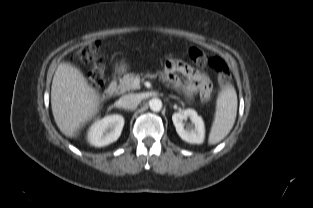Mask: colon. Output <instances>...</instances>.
Listing matches in <instances>:
<instances>
[{
	"mask_svg": "<svg viewBox=\"0 0 313 208\" xmlns=\"http://www.w3.org/2000/svg\"><path fill=\"white\" fill-rule=\"evenodd\" d=\"M100 48V41H94L93 43L82 47L79 50V55L81 58H85L88 60H99ZM188 54L190 59L198 65H204L205 63H209L211 67L216 71L217 79L220 84H226L230 80L229 68L222 59L218 57L208 58L205 53L195 47L190 48ZM89 77L95 85H103L104 72L100 64L95 66V68L91 71Z\"/></svg>",
	"mask_w": 313,
	"mask_h": 208,
	"instance_id": "colon-1",
	"label": "colon"
}]
</instances>
